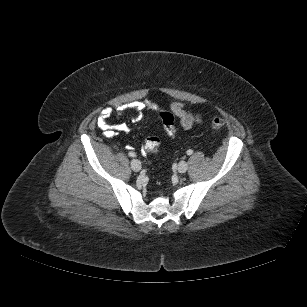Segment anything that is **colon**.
Here are the masks:
<instances>
[{
    "label": "colon",
    "instance_id": "5ec220e1",
    "mask_svg": "<svg viewBox=\"0 0 307 307\" xmlns=\"http://www.w3.org/2000/svg\"><path fill=\"white\" fill-rule=\"evenodd\" d=\"M159 118L163 123L165 131L169 136H174L176 132L174 117L171 113L162 111L159 113ZM210 125L214 129H221L225 126V120L221 117H213L211 119ZM160 147V140L156 136H150L146 139L144 148L145 151L156 153Z\"/></svg>",
    "mask_w": 307,
    "mask_h": 307
}]
</instances>
